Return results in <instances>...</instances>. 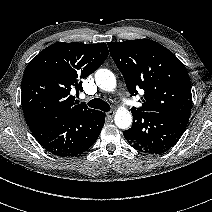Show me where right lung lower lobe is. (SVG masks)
Listing matches in <instances>:
<instances>
[{
	"instance_id": "obj_1",
	"label": "right lung lower lobe",
	"mask_w": 212,
	"mask_h": 212,
	"mask_svg": "<svg viewBox=\"0 0 212 212\" xmlns=\"http://www.w3.org/2000/svg\"><path fill=\"white\" fill-rule=\"evenodd\" d=\"M101 111L70 117L48 118L30 127L40 145L60 157H73L88 150L97 140L104 125Z\"/></svg>"
}]
</instances>
